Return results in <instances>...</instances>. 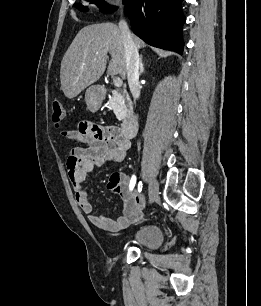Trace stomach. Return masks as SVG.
I'll return each mask as SVG.
<instances>
[{"label": "stomach", "instance_id": "obj_1", "mask_svg": "<svg viewBox=\"0 0 261 306\" xmlns=\"http://www.w3.org/2000/svg\"><path fill=\"white\" fill-rule=\"evenodd\" d=\"M85 101L87 108L92 112H96L101 107L102 98L97 86H90L87 88L85 92Z\"/></svg>", "mask_w": 261, "mask_h": 306}]
</instances>
